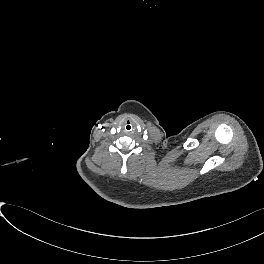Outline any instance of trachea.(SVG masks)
Listing matches in <instances>:
<instances>
[{
    "mask_svg": "<svg viewBox=\"0 0 264 264\" xmlns=\"http://www.w3.org/2000/svg\"><path fill=\"white\" fill-rule=\"evenodd\" d=\"M133 130V124L129 121L123 124V131L125 133H130Z\"/></svg>",
    "mask_w": 264,
    "mask_h": 264,
    "instance_id": "3493384b",
    "label": "trachea"
}]
</instances>
